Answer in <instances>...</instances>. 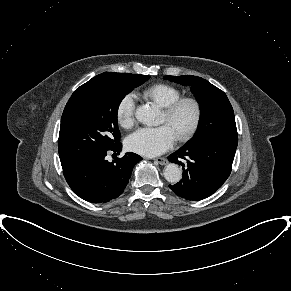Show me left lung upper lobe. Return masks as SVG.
Wrapping results in <instances>:
<instances>
[{
    "label": "left lung upper lobe",
    "mask_w": 291,
    "mask_h": 291,
    "mask_svg": "<svg viewBox=\"0 0 291 291\" xmlns=\"http://www.w3.org/2000/svg\"><path fill=\"white\" fill-rule=\"evenodd\" d=\"M164 78L191 86L201 106L198 131L186 144H197L216 135H237L233 108L223 91L197 76H165Z\"/></svg>",
    "instance_id": "1"
}]
</instances>
